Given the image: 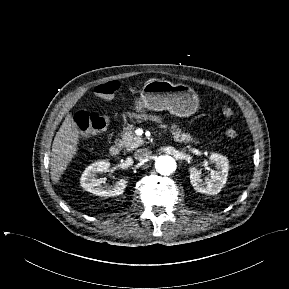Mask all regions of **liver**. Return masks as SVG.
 I'll list each match as a JSON object with an SVG mask.
<instances>
[{
    "label": "liver",
    "mask_w": 289,
    "mask_h": 289,
    "mask_svg": "<svg viewBox=\"0 0 289 289\" xmlns=\"http://www.w3.org/2000/svg\"><path fill=\"white\" fill-rule=\"evenodd\" d=\"M79 131L73 117L68 114L56 133L50 159L51 179L57 183L77 152Z\"/></svg>",
    "instance_id": "liver-1"
}]
</instances>
